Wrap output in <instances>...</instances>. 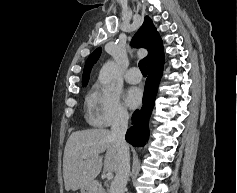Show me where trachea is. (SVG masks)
Masks as SVG:
<instances>
[{"label": "trachea", "instance_id": "3493384b", "mask_svg": "<svg viewBox=\"0 0 237 193\" xmlns=\"http://www.w3.org/2000/svg\"><path fill=\"white\" fill-rule=\"evenodd\" d=\"M138 66H139L140 71H141L143 74H146V73H147L145 61H143V60L139 61Z\"/></svg>", "mask_w": 237, "mask_h": 193}]
</instances>
